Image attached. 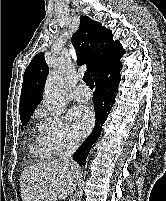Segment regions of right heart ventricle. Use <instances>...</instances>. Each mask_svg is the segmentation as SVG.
I'll return each instance as SVG.
<instances>
[{
  "mask_svg": "<svg viewBox=\"0 0 166 201\" xmlns=\"http://www.w3.org/2000/svg\"><path fill=\"white\" fill-rule=\"evenodd\" d=\"M33 133H34V142H35V145H34L35 154H37L38 156L42 158H50L53 155H55V153L53 152V150L51 149V147L48 145V143L46 142L44 138L42 125H38L35 128Z\"/></svg>",
  "mask_w": 166,
  "mask_h": 201,
  "instance_id": "e07e8e85",
  "label": "right heart ventricle"
}]
</instances>
